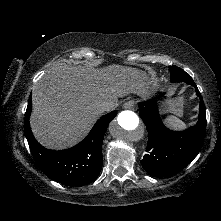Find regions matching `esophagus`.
<instances>
[{"mask_svg":"<svg viewBox=\"0 0 221 221\" xmlns=\"http://www.w3.org/2000/svg\"><path fill=\"white\" fill-rule=\"evenodd\" d=\"M134 104H135L134 100H129V101L124 103V108L131 109L134 106Z\"/></svg>","mask_w":221,"mask_h":221,"instance_id":"obj_1","label":"esophagus"}]
</instances>
